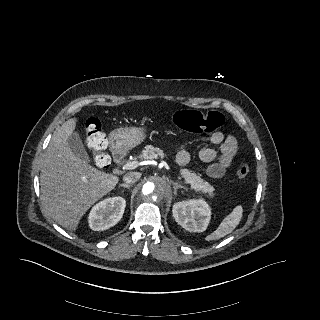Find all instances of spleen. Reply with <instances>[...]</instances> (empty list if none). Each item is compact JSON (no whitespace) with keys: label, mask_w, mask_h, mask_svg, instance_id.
<instances>
[{"label":"spleen","mask_w":320,"mask_h":320,"mask_svg":"<svg viewBox=\"0 0 320 320\" xmlns=\"http://www.w3.org/2000/svg\"><path fill=\"white\" fill-rule=\"evenodd\" d=\"M242 216L243 208L237 205L230 214L225 216L218 228L205 238L206 241L217 240L230 234L239 225Z\"/></svg>","instance_id":"obj_1"}]
</instances>
